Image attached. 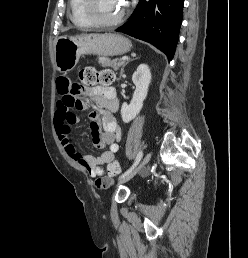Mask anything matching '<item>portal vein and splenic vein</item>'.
<instances>
[{"mask_svg":"<svg viewBox=\"0 0 248 258\" xmlns=\"http://www.w3.org/2000/svg\"><path fill=\"white\" fill-rule=\"evenodd\" d=\"M129 58L127 57V56H123L122 58H121V60H123V61H126V60H128Z\"/></svg>","mask_w":248,"mask_h":258,"instance_id":"obj_1","label":"portal vein and splenic vein"}]
</instances>
